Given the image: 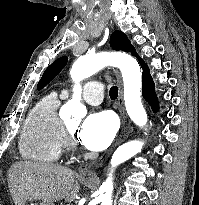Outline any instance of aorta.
<instances>
[{
    "label": "aorta",
    "mask_w": 199,
    "mask_h": 205,
    "mask_svg": "<svg viewBox=\"0 0 199 205\" xmlns=\"http://www.w3.org/2000/svg\"><path fill=\"white\" fill-rule=\"evenodd\" d=\"M108 65L118 67L122 73L124 101L129 117L136 125L145 126L148 118L141 102L142 77L140 67L136 59L126 53L102 52L80 56L74 62L70 71L75 86L72 99L66 103L64 109L73 116L81 117L85 113V108L81 104L80 81L92 76ZM142 146V141L133 140L119 146L113 153L110 161L111 172L102 184V189L105 193L102 195L101 205H112L113 168L141 152Z\"/></svg>",
    "instance_id": "762f6f07"
}]
</instances>
